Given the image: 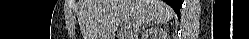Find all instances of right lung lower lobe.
<instances>
[{"label": "right lung lower lobe", "mask_w": 249, "mask_h": 39, "mask_svg": "<svg viewBox=\"0 0 249 39\" xmlns=\"http://www.w3.org/2000/svg\"><path fill=\"white\" fill-rule=\"evenodd\" d=\"M168 5H170L174 11L180 16V9L182 6V0H164Z\"/></svg>", "instance_id": "1"}]
</instances>
